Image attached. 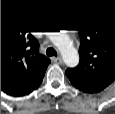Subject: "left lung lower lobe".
Wrapping results in <instances>:
<instances>
[{
  "label": "left lung lower lobe",
  "instance_id": "left-lung-lower-lobe-1",
  "mask_svg": "<svg viewBox=\"0 0 115 114\" xmlns=\"http://www.w3.org/2000/svg\"><path fill=\"white\" fill-rule=\"evenodd\" d=\"M71 83L79 90H81L83 92H87V93H96V92H99L105 88V87L97 86V85H93V84H80V83H76L73 81H71Z\"/></svg>",
  "mask_w": 115,
  "mask_h": 114
}]
</instances>
